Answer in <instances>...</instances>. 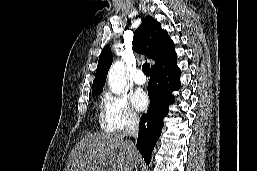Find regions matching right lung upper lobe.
<instances>
[{"label": "right lung upper lobe", "instance_id": "obj_1", "mask_svg": "<svg viewBox=\"0 0 257 171\" xmlns=\"http://www.w3.org/2000/svg\"><path fill=\"white\" fill-rule=\"evenodd\" d=\"M133 48L135 51L143 53L155 61V65L151 69L168 65L177 60L173 41L168 33L162 30L161 24L151 16H146L135 31ZM112 61L111 48L110 45H107L99 56L95 79L92 85V94L101 93Z\"/></svg>", "mask_w": 257, "mask_h": 171}]
</instances>
